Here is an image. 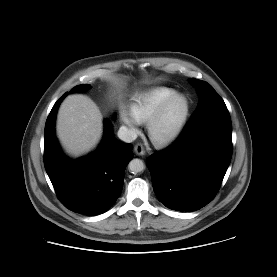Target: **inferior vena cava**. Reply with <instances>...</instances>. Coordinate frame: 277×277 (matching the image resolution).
Wrapping results in <instances>:
<instances>
[{"instance_id": "1", "label": "inferior vena cava", "mask_w": 277, "mask_h": 277, "mask_svg": "<svg viewBox=\"0 0 277 277\" xmlns=\"http://www.w3.org/2000/svg\"><path fill=\"white\" fill-rule=\"evenodd\" d=\"M118 137L126 143H131L137 138V134L135 130L121 126L118 130Z\"/></svg>"}]
</instances>
